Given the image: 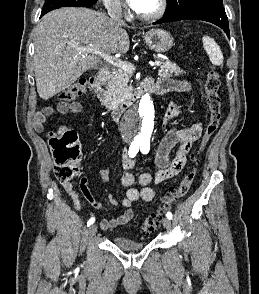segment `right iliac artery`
<instances>
[{
	"label": "right iliac artery",
	"mask_w": 259,
	"mask_h": 294,
	"mask_svg": "<svg viewBox=\"0 0 259 294\" xmlns=\"http://www.w3.org/2000/svg\"><path fill=\"white\" fill-rule=\"evenodd\" d=\"M138 151H139V144L138 143H132L130 145V147H129V152H128L129 153V156L131 158H134L136 156V154L138 153ZM94 221H95V218L94 217L90 218L88 220V222H87V226L92 225L94 223Z\"/></svg>",
	"instance_id": "right-iliac-artery-1"
}]
</instances>
